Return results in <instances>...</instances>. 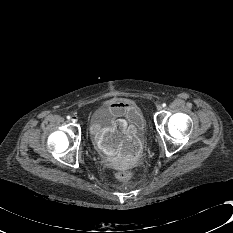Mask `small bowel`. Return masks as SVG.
Masks as SVG:
<instances>
[{
	"label": "small bowel",
	"instance_id": "1",
	"mask_svg": "<svg viewBox=\"0 0 233 233\" xmlns=\"http://www.w3.org/2000/svg\"><path fill=\"white\" fill-rule=\"evenodd\" d=\"M111 106L117 112H135L134 105L127 100L113 101ZM94 133L97 143L102 150L117 161H132L137 159L142 153V142L132 131L111 129L102 133L96 128Z\"/></svg>",
	"mask_w": 233,
	"mask_h": 233
}]
</instances>
